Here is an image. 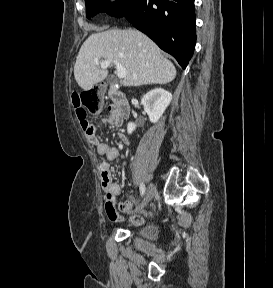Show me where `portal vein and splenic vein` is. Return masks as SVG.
I'll use <instances>...</instances> for the list:
<instances>
[{
	"label": "portal vein and splenic vein",
	"mask_w": 273,
	"mask_h": 288,
	"mask_svg": "<svg viewBox=\"0 0 273 288\" xmlns=\"http://www.w3.org/2000/svg\"><path fill=\"white\" fill-rule=\"evenodd\" d=\"M115 64L116 66V69H117V77L120 78V79H123L126 77V74H127V70L122 67V65L117 61V60H113V59H106V60H103L101 63H99L97 60H96V65L99 66L100 68L102 69H106L110 64Z\"/></svg>",
	"instance_id": "1"
}]
</instances>
